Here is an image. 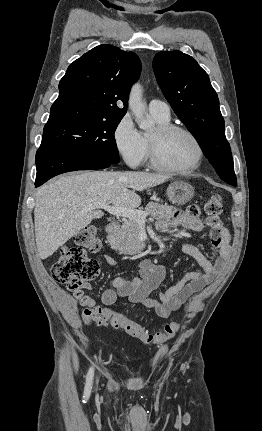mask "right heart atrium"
<instances>
[{
    "mask_svg": "<svg viewBox=\"0 0 262 431\" xmlns=\"http://www.w3.org/2000/svg\"><path fill=\"white\" fill-rule=\"evenodd\" d=\"M115 147L122 158L132 166L140 164L147 154L146 143L130 114H124L113 131Z\"/></svg>",
    "mask_w": 262,
    "mask_h": 431,
    "instance_id": "d8ad5b80",
    "label": "right heart atrium"
}]
</instances>
